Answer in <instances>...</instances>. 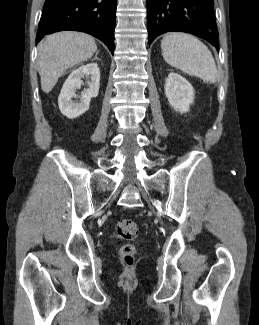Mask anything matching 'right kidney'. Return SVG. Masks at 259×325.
<instances>
[{
	"label": "right kidney",
	"instance_id": "obj_1",
	"mask_svg": "<svg viewBox=\"0 0 259 325\" xmlns=\"http://www.w3.org/2000/svg\"><path fill=\"white\" fill-rule=\"evenodd\" d=\"M90 77L88 88L81 94L79 103L72 99L76 98V90L81 88L82 78ZM100 87V70L96 63L81 65L69 75L65 81L59 98L58 105L61 113L69 119L76 118L85 113L90 106L91 98L97 97Z\"/></svg>",
	"mask_w": 259,
	"mask_h": 325
}]
</instances>
